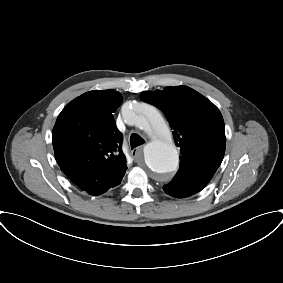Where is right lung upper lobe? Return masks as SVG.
Wrapping results in <instances>:
<instances>
[{
    "label": "right lung upper lobe",
    "instance_id": "cb5924a9",
    "mask_svg": "<svg viewBox=\"0 0 283 283\" xmlns=\"http://www.w3.org/2000/svg\"><path fill=\"white\" fill-rule=\"evenodd\" d=\"M122 100L112 89L89 91L68 103L57 118L52 133L56 161L82 190L93 183L110 187L126 172L123 136L112 115Z\"/></svg>",
    "mask_w": 283,
    "mask_h": 283
}]
</instances>
